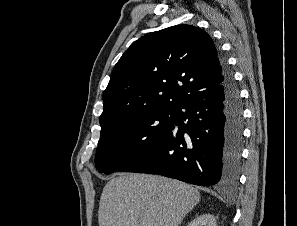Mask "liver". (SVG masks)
<instances>
[{"instance_id":"1","label":"liver","mask_w":297,"mask_h":226,"mask_svg":"<svg viewBox=\"0 0 297 226\" xmlns=\"http://www.w3.org/2000/svg\"><path fill=\"white\" fill-rule=\"evenodd\" d=\"M200 197L196 188L174 179L121 174L103 189L99 226H178Z\"/></svg>"}]
</instances>
